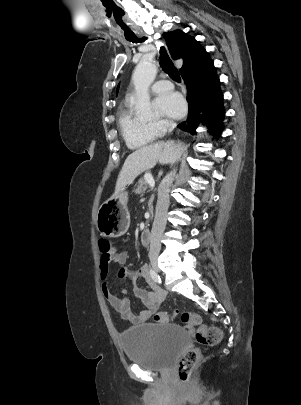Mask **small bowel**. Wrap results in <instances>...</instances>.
Masks as SVG:
<instances>
[{"label":"small bowel","instance_id":"1","mask_svg":"<svg viewBox=\"0 0 301 405\" xmlns=\"http://www.w3.org/2000/svg\"><path fill=\"white\" fill-rule=\"evenodd\" d=\"M128 259V254L125 251H117L111 248L108 256L101 255L100 260V278L102 280V293L108 304L121 316L125 321L131 324H140L149 321L158 311L162 302L165 299V291L153 282L150 276L149 269L146 265H142L137 270H128L125 263ZM111 264L119 267L117 276L120 280L128 281L132 285V291L136 297L142 300L146 309L139 314H134L130 309L127 298L123 295L125 290L121 291V295H116L112 292L108 283L109 271ZM143 278L149 286V290L137 284L138 279Z\"/></svg>","mask_w":301,"mask_h":405}]
</instances>
